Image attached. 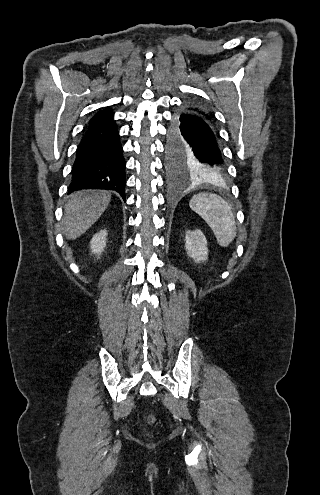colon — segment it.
Returning a JSON list of instances; mask_svg holds the SVG:
<instances>
[{"instance_id":"1","label":"colon","mask_w":320,"mask_h":495,"mask_svg":"<svg viewBox=\"0 0 320 495\" xmlns=\"http://www.w3.org/2000/svg\"><path fill=\"white\" fill-rule=\"evenodd\" d=\"M154 421V418L151 416L149 417V422H153Z\"/></svg>"}]
</instances>
